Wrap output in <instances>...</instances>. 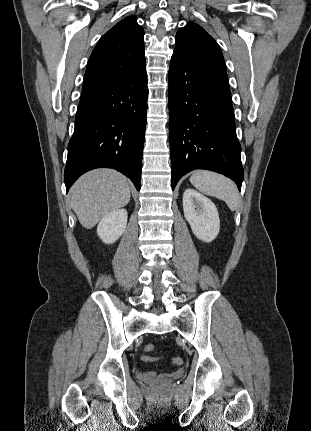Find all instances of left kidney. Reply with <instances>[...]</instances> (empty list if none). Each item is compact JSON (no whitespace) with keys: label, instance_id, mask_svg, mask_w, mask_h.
Here are the masks:
<instances>
[{"label":"left kidney","instance_id":"5707ae66","mask_svg":"<svg viewBox=\"0 0 311 431\" xmlns=\"http://www.w3.org/2000/svg\"><path fill=\"white\" fill-rule=\"evenodd\" d=\"M183 212L196 237L203 241H212L217 237L220 219L211 200L188 188L183 194Z\"/></svg>","mask_w":311,"mask_h":431}]
</instances>
